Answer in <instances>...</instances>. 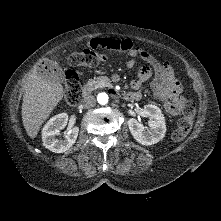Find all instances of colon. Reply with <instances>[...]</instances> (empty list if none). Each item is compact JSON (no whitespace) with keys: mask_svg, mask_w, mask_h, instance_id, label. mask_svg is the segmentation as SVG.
<instances>
[{"mask_svg":"<svg viewBox=\"0 0 221 221\" xmlns=\"http://www.w3.org/2000/svg\"><path fill=\"white\" fill-rule=\"evenodd\" d=\"M106 56L96 52L94 49H84L80 52H74L69 56L71 66H96L103 62ZM82 98L81 86L78 75L74 71H68L65 75V103L69 106H75L80 103ZM195 115V104L186 101L183 106V115L179 119L177 128L172 134L174 141L182 140L190 131Z\"/></svg>","mask_w":221,"mask_h":221,"instance_id":"obj_1","label":"colon"}]
</instances>
